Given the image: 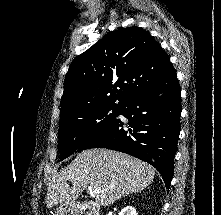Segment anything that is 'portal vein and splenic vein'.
<instances>
[{"label": "portal vein and splenic vein", "mask_w": 221, "mask_h": 215, "mask_svg": "<svg viewBox=\"0 0 221 215\" xmlns=\"http://www.w3.org/2000/svg\"><path fill=\"white\" fill-rule=\"evenodd\" d=\"M89 191L92 193V194H100L101 193V190L100 189H95V188H92L91 186L88 187Z\"/></svg>", "instance_id": "1"}]
</instances>
